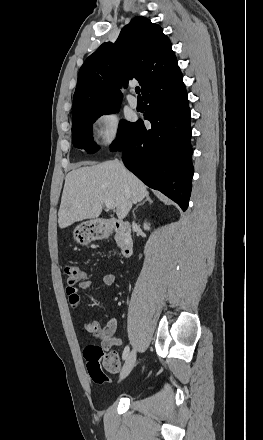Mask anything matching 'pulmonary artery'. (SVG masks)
<instances>
[{"label": "pulmonary artery", "mask_w": 263, "mask_h": 440, "mask_svg": "<svg viewBox=\"0 0 263 440\" xmlns=\"http://www.w3.org/2000/svg\"><path fill=\"white\" fill-rule=\"evenodd\" d=\"M128 103L132 108H136L138 105L137 99L133 95L128 96Z\"/></svg>", "instance_id": "pulmonary-artery-1"}]
</instances>
